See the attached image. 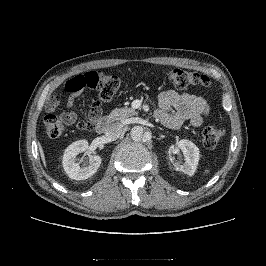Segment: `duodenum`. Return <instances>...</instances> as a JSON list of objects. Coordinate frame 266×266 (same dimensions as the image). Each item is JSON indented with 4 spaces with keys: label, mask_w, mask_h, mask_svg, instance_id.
<instances>
[{
    "label": "duodenum",
    "mask_w": 266,
    "mask_h": 266,
    "mask_svg": "<svg viewBox=\"0 0 266 266\" xmlns=\"http://www.w3.org/2000/svg\"><path fill=\"white\" fill-rule=\"evenodd\" d=\"M155 116L159 118V113L156 111ZM109 128V119L107 118H101L97 120L94 124V129L96 133L102 135L105 132H107Z\"/></svg>",
    "instance_id": "duodenum-1"
}]
</instances>
